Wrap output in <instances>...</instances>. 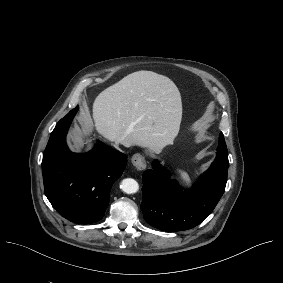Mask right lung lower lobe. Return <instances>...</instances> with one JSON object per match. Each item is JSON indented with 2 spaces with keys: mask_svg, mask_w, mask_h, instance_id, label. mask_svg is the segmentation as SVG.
Wrapping results in <instances>:
<instances>
[{
  "mask_svg": "<svg viewBox=\"0 0 283 283\" xmlns=\"http://www.w3.org/2000/svg\"><path fill=\"white\" fill-rule=\"evenodd\" d=\"M78 111L71 110L56 125L43 154L45 194L66 219L79 224L101 220L110 190L125 168L127 156L99 142L87 154L69 151L65 136Z\"/></svg>",
  "mask_w": 283,
  "mask_h": 283,
  "instance_id": "right-lung-lower-lobe-1",
  "label": "right lung lower lobe"
}]
</instances>
